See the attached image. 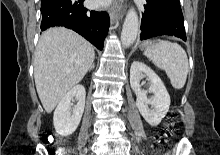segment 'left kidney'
<instances>
[{"instance_id": "left-kidney-1", "label": "left kidney", "mask_w": 220, "mask_h": 155, "mask_svg": "<svg viewBox=\"0 0 220 155\" xmlns=\"http://www.w3.org/2000/svg\"><path fill=\"white\" fill-rule=\"evenodd\" d=\"M147 77L151 84L148 90H142L140 80ZM130 85L136 94V106L151 126H157L165 117L170 106V96L159 76L146 64L134 61L130 68ZM147 92L153 93L152 98ZM149 105L151 106L149 108Z\"/></svg>"}]
</instances>
